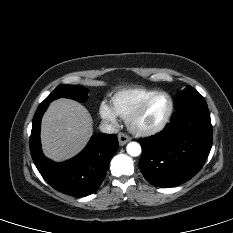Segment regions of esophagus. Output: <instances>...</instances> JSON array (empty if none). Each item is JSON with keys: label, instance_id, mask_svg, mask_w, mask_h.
<instances>
[{"label": "esophagus", "instance_id": "obj_1", "mask_svg": "<svg viewBox=\"0 0 233 233\" xmlns=\"http://www.w3.org/2000/svg\"><path fill=\"white\" fill-rule=\"evenodd\" d=\"M130 140H131V138L127 134H124V133H119L118 134V141H119V144L121 146L125 145Z\"/></svg>", "mask_w": 233, "mask_h": 233}]
</instances>
